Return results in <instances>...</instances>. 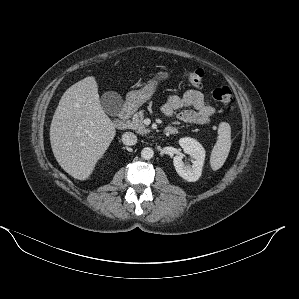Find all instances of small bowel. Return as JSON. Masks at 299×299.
Instances as JSON below:
<instances>
[{
	"instance_id": "1",
	"label": "small bowel",
	"mask_w": 299,
	"mask_h": 299,
	"mask_svg": "<svg viewBox=\"0 0 299 299\" xmlns=\"http://www.w3.org/2000/svg\"><path fill=\"white\" fill-rule=\"evenodd\" d=\"M162 112L185 123L209 124L215 109L209 104L207 94L190 89L181 96L171 95L163 104ZM170 127L177 130L175 126Z\"/></svg>"
}]
</instances>
